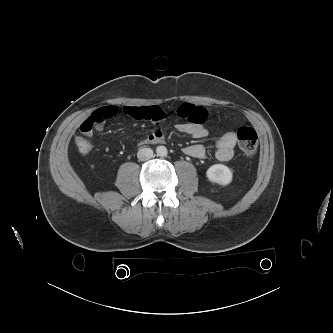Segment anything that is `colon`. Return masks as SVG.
Instances as JSON below:
<instances>
[{
    "label": "colon",
    "mask_w": 333,
    "mask_h": 333,
    "mask_svg": "<svg viewBox=\"0 0 333 333\" xmlns=\"http://www.w3.org/2000/svg\"><path fill=\"white\" fill-rule=\"evenodd\" d=\"M238 145L246 156H253L258 147V136L256 131L247 126H242L237 130ZM75 145L79 152L87 153L91 150V142L82 136L75 138Z\"/></svg>",
    "instance_id": "obj_1"
}]
</instances>
